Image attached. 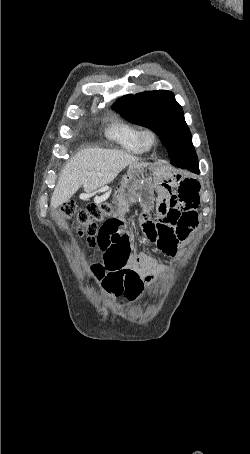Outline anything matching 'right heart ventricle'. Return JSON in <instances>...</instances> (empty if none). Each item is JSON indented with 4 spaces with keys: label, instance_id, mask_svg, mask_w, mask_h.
I'll list each match as a JSON object with an SVG mask.
<instances>
[{
    "label": "right heart ventricle",
    "instance_id": "e07e8e85",
    "mask_svg": "<svg viewBox=\"0 0 250 454\" xmlns=\"http://www.w3.org/2000/svg\"><path fill=\"white\" fill-rule=\"evenodd\" d=\"M140 128L131 122L117 119L106 129V136L120 148L134 154H142L146 150L139 141Z\"/></svg>",
    "mask_w": 250,
    "mask_h": 454
}]
</instances>
